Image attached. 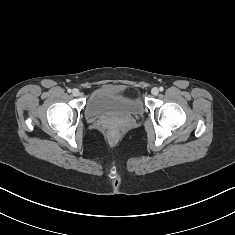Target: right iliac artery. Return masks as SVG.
Instances as JSON below:
<instances>
[{
	"label": "right iliac artery",
	"instance_id": "obj_1",
	"mask_svg": "<svg viewBox=\"0 0 235 235\" xmlns=\"http://www.w3.org/2000/svg\"><path fill=\"white\" fill-rule=\"evenodd\" d=\"M67 91L70 93V92H71V89H68Z\"/></svg>",
	"mask_w": 235,
	"mask_h": 235
}]
</instances>
